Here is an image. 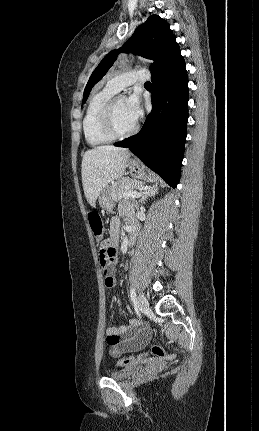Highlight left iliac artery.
<instances>
[{"mask_svg": "<svg viewBox=\"0 0 259 431\" xmlns=\"http://www.w3.org/2000/svg\"><path fill=\"white\" fill-rule=\"evenodd\" d=\"M130 298H131V301L133 302L136 300V292L133 287L130 289Z\"/></svg>", "mask_w": 259, "mask_h": 431, "instance_id": "obj_1", "label": "left iliac artery"}]
</instances>
